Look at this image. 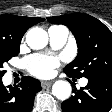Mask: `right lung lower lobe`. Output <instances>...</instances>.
Segmentation results:
<instances>
[{"label": "right lung lower lobe", "instance_id": "obj_1", "mask_svg": "<svg viewBox=\"0 0 112 112\" xmlns=\"http://www.w3.org/2000/svg\"><path fill=\"white\" fill-rule=\"evenodd\" d=\"M40 90V81L32 77H23L19 88L5 87L0 79V112H31Z\"/></svg>", "mask_w": 112, "mask_h": 112}]
</instances>
